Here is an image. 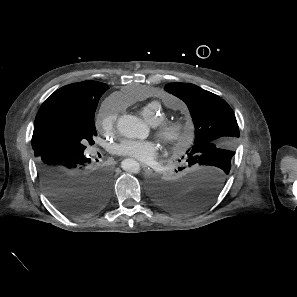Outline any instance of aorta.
<instances>
[{"instance_id": "1", "label": "aorta", "mask_w": 297, "mask_h": 297, "mask_svg": "<svg viewBox=\"0 0 297 297\" xmlns=\"http://www.w3.org/2000/svg\"><path fill=\"white\" fill-rule=\"evenodd\" d=\"M117 129L121 135L135 139L145 138L147 136V127L142 123L140 119L133 115H123L117 121ZM123 170L130 173H139L140 165L134 159H125L121 163Z\"/></svg>"}]
</instances>
